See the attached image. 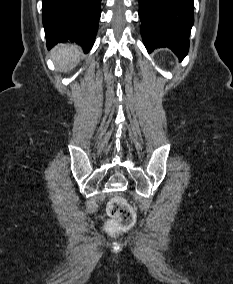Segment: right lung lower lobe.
<instances>
[{
    "label": "right lung lower lobe",
    "instance_id": "1",
    "mask_svg": "<svg viewBox=\"0 0 233 284\" xmlns=\"http://www.w3.org/2000/svg\"><path fill=\"white\" fill-rule=\"evenodd\" d=\"M42 21L47 48L60 42L78 43L88 53L95 41L101 0H43Z\"/></svg>",
    "mask_w": 233,
    "mask_h": 284
}]
</instances>
